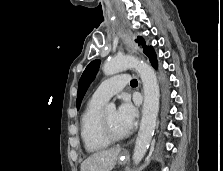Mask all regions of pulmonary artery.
<instances>
[{"instance_id":"1","label":"pulmonary artery","mask_w":223,"mask_h":171,"mask_svg":"<svg viewBox=\"0 0 223 171\" xmlns=\"http://www.w3.org/2000/svg\"><path fill=\"white\" fill-rule=\"evenodd\" d=\"M129 82L127 74H120L103 81L93 93L92 98L100 101H108L112 96L123 90Z\"/></svg>"}]
</instances>
